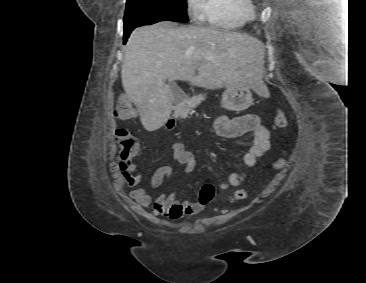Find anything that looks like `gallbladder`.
Returning a JSON list of instances; mask_svg holds the SVG:
<instances>
[{"mask_svg":"<svg viewBox=\"0 0 366 283\" xmlns=\"http://www.w3.org/2000/svg\"><path fill=\"white\" fill-rule=\"evenodd\" d=\"M169 84H170V88H171L172 94L174 96V99L176 102H178L180 100L181 90L173 82L170 81Z\"/></svg>","mask_w":366,"mask_h":283,"instance_id":"gallbladder-1","label":"gallbladder"}]
</instances>
